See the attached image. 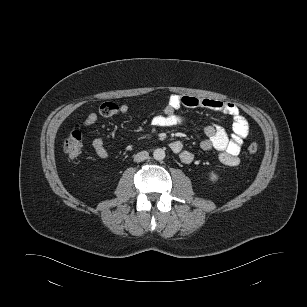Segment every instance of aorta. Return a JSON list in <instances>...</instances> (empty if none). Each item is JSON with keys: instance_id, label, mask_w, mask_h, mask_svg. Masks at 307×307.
<instances>
[{"instance_id": "1", "label": "aorta", "mask_w": 307, "mask_h": 307, "mask_svg": "<svg viewBox=\"0 0 307 307\" xmlns=\"http://www.w3.org/2000/svg\"><path fill=\"white\" fill-rule=\"evenodd\" d=\"M153 157L155 160L161 161L165 158V151L161 148H157L153 152Z\"/></svg>"}]
</instances>
